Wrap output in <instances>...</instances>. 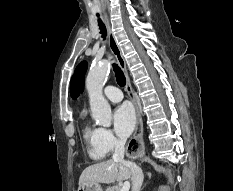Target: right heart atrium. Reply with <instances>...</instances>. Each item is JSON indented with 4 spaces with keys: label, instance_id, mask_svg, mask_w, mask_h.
<instances>
[{
    "label": "right heart atrium",
    "instance_id": "1",
    "mask_svg": "<svg viewBox=\"0 0 233 191\" xmlns=\"http://www.w3.org/2000/svg\"><path fill=\"white\" fill-rule=\"evenodd\" d=\"M122 143V139L117 137L110 129L99 128V144L106 154L113 152Z\"/></svg>",
    "mask_w": 233,
    "mask_h": 191
}]
</instances>
